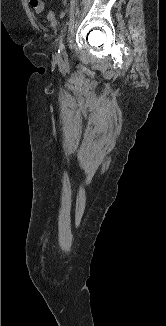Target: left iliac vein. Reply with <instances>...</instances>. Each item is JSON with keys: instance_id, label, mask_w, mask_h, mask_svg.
I'll return each instance as SVG.
<instances>
[{"instance_id": "obj_1", "label": "left iliac vein", "mask_w": 166, "mask_h": 326, "mask_svg": "<svg viewBox=\"0 0 166 326\" xmlns=\"http://www.w3.org/2000/svg\"><path fill=\"white\" fill-rule=\"evenodd\" d=\"M63 48H64V47L61 48V49H62L61 54H62L63 56H65V52H64Z\"/></svg>"}]
</instances>
